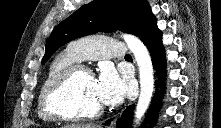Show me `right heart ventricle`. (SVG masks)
<instances>
[{
	"label": "right heart ventricle",
	"instance_id": "1",
	"mask_svg": "<svg viewBox=\"0 0 221 128\" xmlns=\"http://www.w3.org/2000/svg\"><path fill=\"white\" fill-rule=\"evenodd\" d=\"M81 60L77 57V55L68 47L65 50L59 52L55 55V57L49 63L45 77L41 84L38 97H37V112L38 115L45 120H50L51 118L45 115L42 111L41 98L44 89L48 86V84L55 79L58 75L64 72L68 67L79 64Z\"/></svg>",
	"mask_w": 221,
	"mask_h": 128
}]
</instances>
